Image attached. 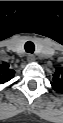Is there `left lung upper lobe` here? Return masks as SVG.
<instances>
[{
	"label": "left lung upper lobe",
	"instance_id": "left-lung-upper-lobe-1",
	"mask_svg": "<svg viewBox=\"0 0 63 123\" xmlns=\"http://www.w3.org/2000/svg\"><path fill=\"white\" fill-rule=\"evenodd\" d=\"M63 71L60 69H57L55 74L53 75V82L51 83L52 88L56 92H63V77H61Z\"/></svg>",
	"mask_w": 63,
	"mask_h": 123
}]
</instances>
